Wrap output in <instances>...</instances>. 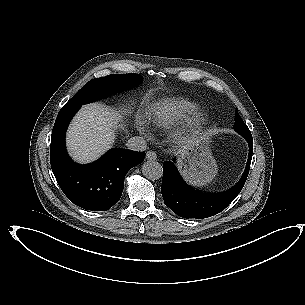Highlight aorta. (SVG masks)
Segmentation results:
<instances>
[{"mask_svg":"<svg viewBox=\"0 0 305 305\" xmlns=\"http://www.w3.org/2000/svg\"><path fill=\"white\" fill-rule=\"evenodd\" d=\"M142 174L149 180H157L162 177L163 168L156 161H145L142 164Z\"/></svg>","mask_w":305,"mask_h":305,"instance_id":"aorta-1","label":"aorta"}]
</instances>
